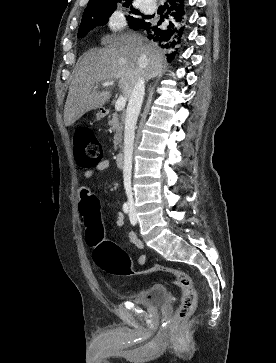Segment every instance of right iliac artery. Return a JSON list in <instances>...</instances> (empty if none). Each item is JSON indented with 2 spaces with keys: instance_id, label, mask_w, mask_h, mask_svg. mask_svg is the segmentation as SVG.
<instances>
[{
  "instance_id": "obj_1",
  "label": "right iliac artery",
  "mask_w": 276,
  "mask_h": 363,
  "mask_svg": "<svg viewBox=\"0 0 276 363\" xmlns=\"http://www.w3.org/2000/svg\"><path fill=\"white\" fill-rule=\"evenodd\" d=\"M130 210H131L130 204L128 202L124 203L123 204V211L127 214V213L130 212Z\"/></svg>"
}]
</instances>
